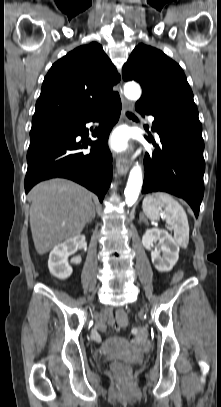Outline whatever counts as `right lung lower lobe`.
I'll return each mask as SVG.
<instances>
[{"label":"right lung lower lobe","instance_id":"right-lung-lower-lobe-1","mask_svg":"<svg viewBox=\"0 0 221 407\" xmlns=\"http://www.w3.org/2000/svg\"><path fill=\"white\" fill-rule=\"evenodd\" d=\"M120 111L119 98L85 117L31 129L24 182L26 193L42 180L63 177L93 191L102 202L112 176V155L107 140ZM98 120L101 123L93 132L97 140L76 141L77 136L88 133L86 123ZM88 145L92 150L82 152Z\"/></svg>","mask_w":221,"mask_h":407}]
</instances>
